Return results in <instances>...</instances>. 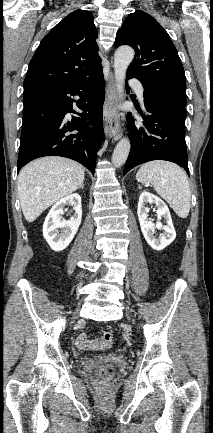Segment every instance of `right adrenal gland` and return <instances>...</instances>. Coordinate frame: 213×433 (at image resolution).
<instances>
[{
    "instance_id": "2a0ac1e0",
    "label": "right adrenal gland",
    "mask_w": 213,
    "mask_h": 433,
    "mask_svg": "<svg viewBox=\"0 0 213 433\" xmlns=\"http://www.w3.org/2000/svg\"><path fill=\"white\" fill-rule=\"evenodd\" d=\"M80 189L84 188V183L81 184V186L79 187Z\"/></svg>"
}]
</instances>
